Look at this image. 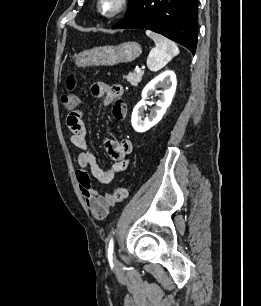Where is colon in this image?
I'll return each mask as SVG.
<instances>
[{
    "instance_id": "colon-1",
    "label": "colon",
    "mask_w": 261,
    "mask_h": 306,
    "mask_svg": "<svg viewBox=\"0 0 261 306\" xmlns=\"http://www.w3.org/2000/svg\"><path fill=\"white\" fill-rule=\"evenodd\" d=\"M66 83L68 92L62 95L61 101L66 110L74 111L79 103L78 96L74 93V90L78 88V81L76 76L74 74H70L67 77ZM127 195V190L123 187L116 188L112 194L115 202L124 201L127 198Z\"/></svg>"
}]
</instances>
